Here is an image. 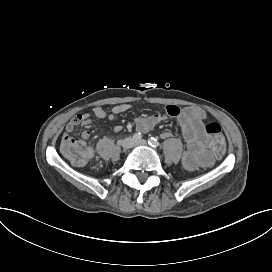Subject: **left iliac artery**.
Here are the masks:
<instances>
[{"label":"left iliac artery","mask_w":272,"mask_h":272,"mask_svg":"<svg viewBox=\"0 0 272 272\" xmlns=\"http://www.w3.org/2000/svg\"><path fill=\"white\" fill-rule=\"evenodd\" d=\"M148 144L151 145L152 147L160 146L159 141L157 139H155L154 137H151L148 139Z\"/></svg>","instance_id":"44dca946"}]
</instances>
